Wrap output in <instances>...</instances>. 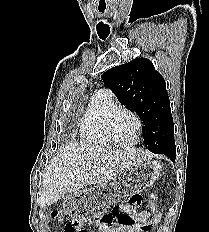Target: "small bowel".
I'll list each match as a JSON object with an SVG mask.
<instances>
[{
  "mask_svg": "<svg viewBox=\"0 0 209 232\" xmlns=\"http://www.w3.org/2000/svg\"><path fill=\"white\" fill-rule=\"evenodd\" d=\"M141 198H142L141 194H130L125 204L126 213H137L138 206H140ZM160 218H161L160 214H156L152 217L149 211L143 210L137 216L139 223L133 227H122V226L109 227L104 224H100L98 231L99 232H149L150 227L158 223Z\"/></svg>",
  "mask_w": 209,
  "mask_h": 232,
  "instance_id": "small-bowel-1",
  "label": "small bowel"
}]
</instances>
